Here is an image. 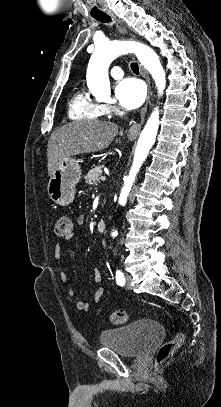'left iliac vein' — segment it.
Returning <instances> with one entry per match:
<instances>
[{"label":"left iliac vein","mask_w":221,"mask_h":407,"mask_svg":"<svg viewBox=\"0 0 221 407\" xmlns=\"http://www.w3.org/2000/svg\"><path fill=\"white\" fill-rule=\"evenodd\" d=\"M132 276L131 275H127L126 276V280H125V286L127 289L131 290L132 289Z\"/></svg>","instance_id":"1"}]
</instances>
